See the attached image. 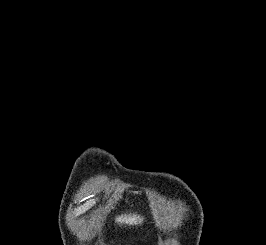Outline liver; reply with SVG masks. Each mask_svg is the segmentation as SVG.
Here are the masks:
<instances>
[{"label": "liver", "mask_w": 266, "mask_h": 245, "mask_svg": "<svg viewBox=\"0 0 266 245\" xmlns=\"http://www.w3.org/2000/svg\"><path fill=\"white\" fill-rule=\"evenodd\" d=\"M143 219L142 217H138V215H120L115 219V223H124V225H141Z\"/></svg>", "instance_id": "obj_1"}]
</instances>
